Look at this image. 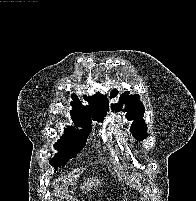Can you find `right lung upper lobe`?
<instances>
[{
	"mask_svg": "<svg viewBox=\"0 0 196 201\" xmlns=\"http://www.w3.org/2000/svg\"><path fill=\"white\" fill-rule=\"evenodd\" d=\"M72 99L71 106H73V110L71 111V115L104 118L108 111L106 96H102L101 94H96L92 97L84 96V99L89 103L88 106H83L75 94L72 95Z\"/></svg>",
	"mask_w": 196,
	"mask_h": 201,
	"instance_id": "1",
	"label": "right lung upper lobe"
}]
</instances>
